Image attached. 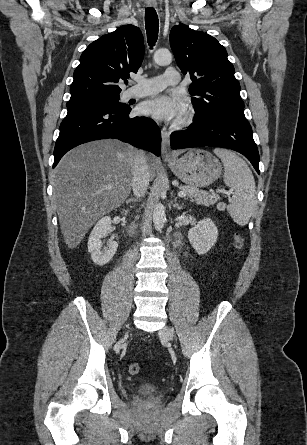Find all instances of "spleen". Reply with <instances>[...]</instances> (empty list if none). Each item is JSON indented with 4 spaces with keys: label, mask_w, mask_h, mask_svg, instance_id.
<instances>
[{
    "label": "spleen",
    "mask_w": 307,
    "mask_h": 445,
    "mask_svg": "<svg viewBox=\"0 0 307 445\" xmlns=\"http://www.w3.org/2000/svg\"><path fill=\"white\" fill-rule=\"evenodd\" d=\"M213 152L221 158L224 166V182L231 186L229 204L226 208L234 223L244 227L257 210L256 184L251 168L236 152L227 148H214Z\"/></svg>",
    "instance_id": "3e777b00"
}]
</instances>
